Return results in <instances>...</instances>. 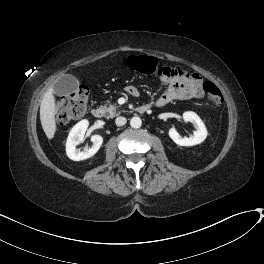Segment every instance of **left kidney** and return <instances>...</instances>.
Here are the masks:
<instances>
[{"label": "left kidney", "mask_w": 264, "mask_h": 264, "mask_svg": "<svg viewBox=\"0 0 264 264\" xmlns=\"http://www.w3.org/2000/svg\"><path fill=\"white\" fill-rule=\"evenodd\" d=\"M183 119L185 122L194 124L196 128L194 134L190 137H182L177 130L172 127L168 132L170 138L179 146H193L202 143L207 137V130L200 117L194 112L187 111L184 112Z\"/></svg>", "instance_id": "1"}]
</instances>
